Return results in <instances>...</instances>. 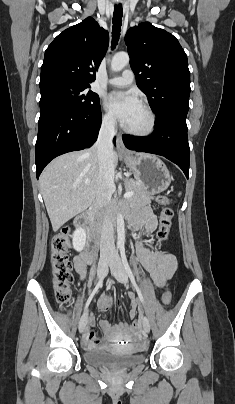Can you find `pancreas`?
Wrapping results in <instances>:
<instances>
[{
    "mask_svg": "<svg viewBox=\"0 0 235 404\" xmlns=\"http://www.w3.org/2000/svg\"><path fill=\"white\" fill-rule=\"evenodd\" d=\"M124 185L127 192H133L134 195L127 199L131 205H142L150 203L153 196L147 191L145 185L137 180L126 179Z\"/></svg>",
    "mask_w": 235,
    "mask_h": 404,
    "instance_id": "1",
    "label": "pancreas"
}]
</instances>
